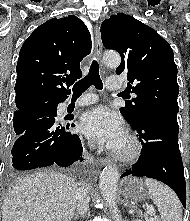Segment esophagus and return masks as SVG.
I'll list each match as a JSON object with an SVG mask.
<instances>
[{"label":"esophagus","mask_w":190,"mask_h":221,"mask_svg":"<svg viewBox=\"0 0 190 221\" xmlns=\"http://www.w3.org/2000/svg\"><path fill=\"white\" fill-rule=\"evenodd\" d=\"M94 54L96 59L100 62L101 70L104 72V67L101 63V56H102V41H101V34L100 28L98 25L94 27ZM110 159L108 158H101L100 163L102 165L110 164Z\"/></svg>","instance_id":"esophagus-1"}]
</instances>
